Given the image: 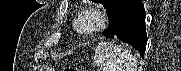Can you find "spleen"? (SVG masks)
Wrapping results in <instances>:
<instances>
[{"label":"spleen","instance_id":"obj_1","mask_svg":"<svg viewBox=\"0 0 181 71\" xmlns=\"http://www.w3.org/2000/svg\"><path fill=\"white\" fill-rule=\"evenodd\" d=\"M93 61L100 71H137V59L128 49L110 42H100Z\"/></svg>","mask_w":181,"mask_h":71}]
</instances>
